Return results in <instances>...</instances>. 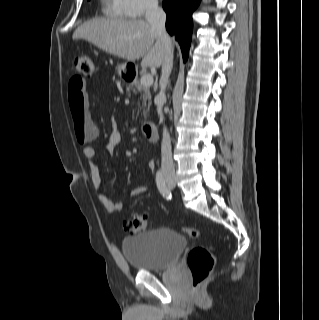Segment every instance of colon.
I'll return each mask as SVG.
<instances>
[{
	"instance_id": "5ec220e1",
	"label": "colon",
	"mask_w": 319,
	"mask_h": 320,
	"mask_svg": "<svg viewBox=\"0 0 319 320\" xmlns=\"http://www.w3.org/2000/svg\"><path fill=\"white\" fill-rule=\"evenodd\" d=\"M73 70L80 79L91 78L95 71L93 58L87 55L76 56L72 61ZM75 136L79 143L84 144L95 138V132L82 113L72 116ZM149 225V218L145 215L132 214L125 221V228L131 233L145 230ZM183 232L190 238L196 239L201 232L195 228H184ZM215 265L213 254L204 246L193 247L187 255V266L192 277L193 291L210 276Z\"/></svg>"
}]
</instances>
